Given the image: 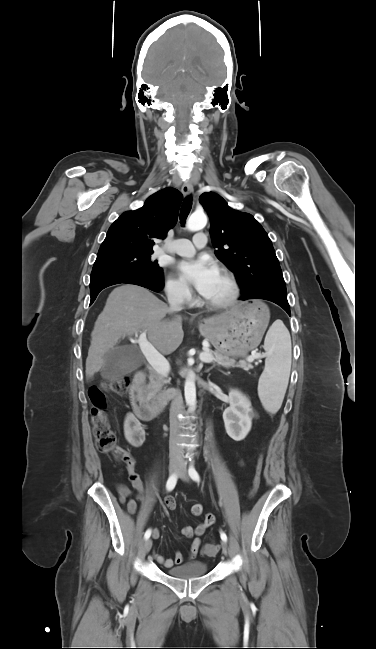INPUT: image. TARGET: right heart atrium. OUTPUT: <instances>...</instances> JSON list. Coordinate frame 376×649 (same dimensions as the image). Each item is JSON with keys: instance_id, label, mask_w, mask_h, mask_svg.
<instances>
[{"instance_id": "d8ad5b80", "label": "right heart atrium", "mask_w": 376, "mask_h": 649, "mask_svg": "<svg viewBox=\"0 0 376 649\" xmlns=\"http://www.w3.org/2000/svg\"><path fill=\"white\" fill-rule=\"evenodd\" d=\"M164 289L167 297L176 303L187 304L192 300V293L189 288L175 278H167Z\"/></svg>"}]
</instances>
